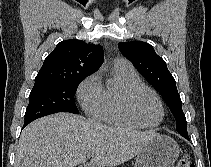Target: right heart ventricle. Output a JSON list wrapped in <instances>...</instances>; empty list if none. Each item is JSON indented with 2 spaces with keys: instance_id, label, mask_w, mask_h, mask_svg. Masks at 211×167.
<instances>
[{
  "instance_id": "right-heart-ventricle-1",
  "label": "right heart ventricle",
  "mask_w": 211,
  "mask_h": 167,
  "mask_svg": "<svg viewBox=\"0 0 211 167\" xmlns=\"http://www.w3.org/2000/svg\"><path fill=\"white\" fill-rule=\"evenodd\" d=\"M113 72L119 86L116 89H103L102 104L100 110L94 116L112 126L138 129L140 126L124 114L120 104V96L126 88L142 84V80L134 69L114 68Z\"/></svg>"
}]
</instances>
